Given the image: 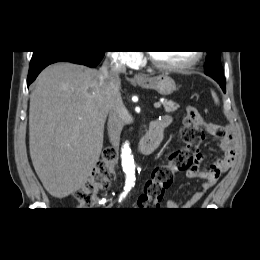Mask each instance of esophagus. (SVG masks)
Returning <instances> with one entry per match:
<instances>
[{
	"label": "esophagus",
	"mask_w": 260,
	"mask_h": 260,
	"mask_svg": "<svg viewBox=\"0 0 260 260\" xmlns=\"http://www.w3.org/2000/svg\"><path fill=\"white\" fill-rule=\"evenodd\" d=\"M134 78L135 79H142L143 75L142 74H135Z\"/></svg>",
	"instance_id": "obj_1"
}]
</instances>
